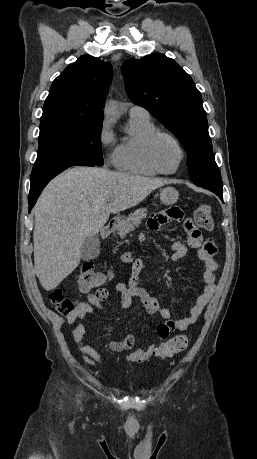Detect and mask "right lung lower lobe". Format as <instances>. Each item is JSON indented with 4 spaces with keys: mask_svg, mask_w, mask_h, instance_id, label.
<instances>
[{
    "mask_svg": "<svg viewBox=\"0 0 257 459\" xmlns=\"http://www.w3.org/2000/svg\"><path fill=\"white\" fill-rule=\"evenodd\" d=\"M71 166H95L81 159H70L52 162L46 165L34 166L30 180V193H29V212L35 205L39 195L44 187L56 175Z\"/></svg>",
    "mask_w": 257,
    "mask_h": 459,
    "instance_id": "right-lung-lower-lobe-1",
    "label": "right lung lower lobe"
}]
</instances>
